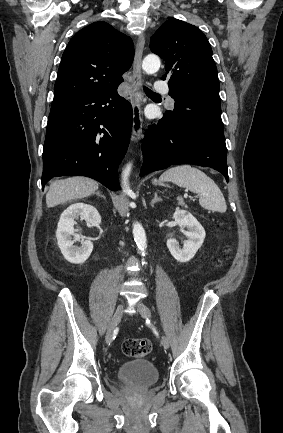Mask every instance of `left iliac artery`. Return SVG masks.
Listing matches in <instances>:
<instances>
[{"instance_id": "44dca946", "label": "left iliac artery", "mask_w": 283, "mask_h": 433, "mask_svg": "<svg viewBox=\"0 0 283 433\" xmlns=\"http://www.w3.org/2000/svg\"><path fill=\"white\" fill-rule=\"evenodd\" d=\"M146 322H147V323H148V322L150 323V321H149L148 319L146 320Z\"/></svg>"}]
</instances>
